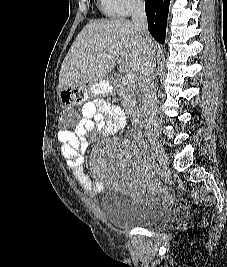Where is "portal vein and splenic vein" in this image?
<instances>
[{
	"label": "portal vein and splenic vein",
	"instance_id": "1",
	"mask_svg": "<svg viewBox=\"0 0 227 267\" xmlns=\"http://www.w3.org/2000/svg\"><path fill=\"white\" fill-rule=\"evenodd\" d=\"M124 78L126 79L129 85H133L137 79V76L132 72H128L125 74Z\"/></svg>",
	"mask_w": 227,
	"mask_h": 267
}]
</instances>
